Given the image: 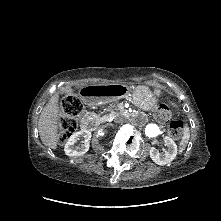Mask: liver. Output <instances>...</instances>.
Masks as SVG:
<instances>
[{
	"label": "liver",
	"mask_w": 221,
	"mask_h": 221,
	"mask_svg": "<svg viewBox=\"0 0 221 221\" xmlns=\"http://www.w3.org/2000/svg\"><path fill=\"white\" fill-rule=\"evenodd\" d=\"M58 95H54L43 108L39 120L38 129L41 141L51 149H56L59 134V105Z\"/></svg>",
	"instance_id": "liver-1"
}]
</instances>
